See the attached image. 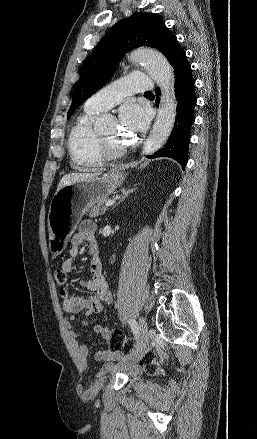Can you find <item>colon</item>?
<instances>
[{"label": "colon", "instance_id": "colon-1", "mask_svg": "<svg viewBox=\"0 0 257 439\" xmlns=\"http://www.w3.org/2000/svg\"><path fill=\"white\" fill-rule=\"evenodd\" d=\"M55 280L58 284L64 285L67 282V273L63 269H57L55 272ZM108 349L112 352L128 354L132 349V341L124 336L119 330L110 331L107 337ZM141 365L147 369L149 374H155L156 356L153 352L146 353L141 359Z\"/></svg>", "mask_w": 257, "mask_h": 439}]
</instances>
